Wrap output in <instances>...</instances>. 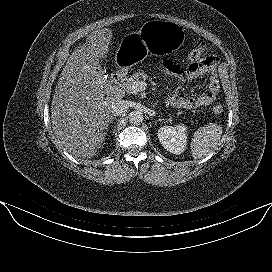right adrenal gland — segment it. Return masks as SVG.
<instances>
[{"label":"right adrenal gland","mask_w":272,"mask_h":272,"mask_svg":"<svg viewBox=\"0 0 272 272\" xmlns=\"http://www.w3.org/2000/svg\"><path fill=\"white\" fill-rule=\"evenodd\" d=\"M116 117L114 115H110V118L108 120V126L113 123V120L115 119Z\"/></svg>","instance_id":"1"}]
</instances>
